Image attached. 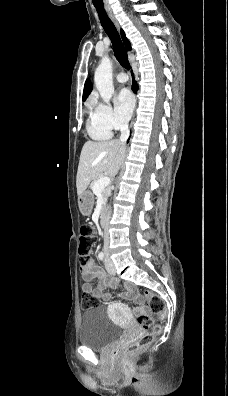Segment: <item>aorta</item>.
Instances as JSON below:
<instances>
[{
    "instance_id": "obj_1",
    "label": "aorta",
    "mask_w": 228,
    "mask_h": 396,
    "mask_svg": "<svg viewBox=\"0 0 228 396\" xmlns=\"http://www.w3.org/2000/svg\"><path fill=\"white\" fill-rule=\"evenodd\" d=\"M94 82L103 101L109 103L114 94V86L112 80V62L108 57L102 58L95 71Z\"/></svg>"
}]
</instances>
